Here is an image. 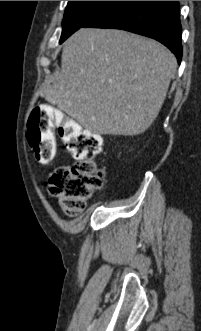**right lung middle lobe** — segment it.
<instances>
[{
	"label": "right lung middle lobe",
	"mask_w": 201,
	"mask_h": 331,
	"mask_svg": "<svg viewBox=\"0 0 201 331\" xmlns=\"http://www.w3.org/2000/svg\"><path fill=\"white\" fill-rule=\"evenodd\" d=\"M112 1H68L65 10L60 43L83 27Z\"/></svg>",
	"instance_id": "dd1d6c3e"
}]
</instances>
